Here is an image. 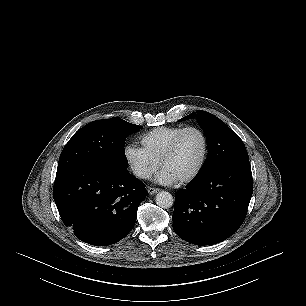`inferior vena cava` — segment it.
Returning <instances> with one entry per match:
<instances>
[{
    "label": "inferior vena cava",
    "instance_id": "1",
    "mask_svg": "<svg viewBox=\"0 0 306 306\" xmlns=\"http://www.w3.org/2000/svg\"><path fill=\"white\" fill-rule=\"evenodd\" d=\"M134 174L140 178H149L151 176L150 172L146 169L136 168L134 169Z\"/></svg>",
    "mask_w": 306,
    "mask_h": 306
}]
</instances>
